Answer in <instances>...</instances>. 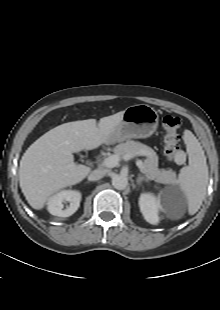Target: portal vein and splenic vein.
<instances>
[{
    "mask_svg": "<svg viewBox=\"0 0 220 310\" xmlns=\"http://www.w3.org/2000/svg\"><path fill=\"white\" fill-rule=\"evenodd\" d=\"M119 160H120L119 156L114 154V155H111V156L105 158L103 160V165L105 167H108V168H113V167H116L118 165ZM136 165L138 166L140 172L144 173L143 162L141 160H137Z\"/></svg>",
    "mask_w": 220,
    "mask_h": 310,
    "instance_id": "1",
    "label": "portal vein and splenic vein"
}]
</instances>
